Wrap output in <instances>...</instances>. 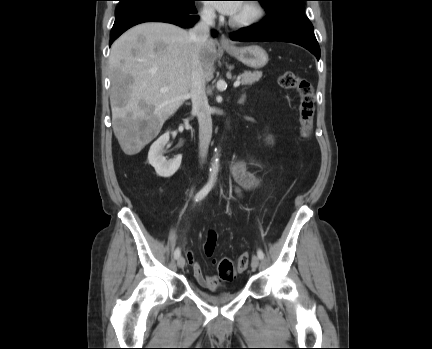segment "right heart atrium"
I'll return each instance as SVG.
<instances>
[{
	"mask_svg": "<svg viewBox=\"0 0 432 349\" xmlns=\"http://www.w3.org/2000/svg\"><path fill=\"white\" fill-rule=\"evenodd\" d=\"M200 15H201V17H202L203 19H207V20H209V19H211V18L213 17V11H212V9L209 8V7H204V8L201 10Z\"/></svg>",
	"mask_w": 432,
	"mask_h": 349,
	"instance_id": "1",
	"label": "right heart atrium"
}]
</instances>
